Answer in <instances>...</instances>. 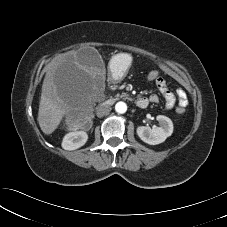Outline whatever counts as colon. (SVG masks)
Listing matches in <instances>:
<instances>
[{
  "label": "colon",
  "mask_w": 227,
  "mask_h": 227,
  "mask_svg": "<svg viewBox=\"0 0 227 227\" xmlns=\"http://www.w3.org/2000/svg\"><path fill=\"white\" fill-rule=\"evenodd\" d=\"M159 75L160 74H159L158 70L152 69V70L147 72L146 79L148 81H156L157 78L160 77ZM176 111H177V113L182 114V113H184L185 109L178 107ZM86 120H87L86 117H76V118H73L71 120V122L74 126H82L86 123Z\"/></svg>",
  "instance_id": "obj_1"
}]
</instances>
